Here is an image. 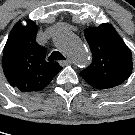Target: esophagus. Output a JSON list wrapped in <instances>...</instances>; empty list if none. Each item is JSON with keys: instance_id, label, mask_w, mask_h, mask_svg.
Wrapping results in <instances>:
<instances>
[{"instance_id": "obj_1", "label": "esophagus", "mask_w": 135, "mask_h": 135, "mask_svg": "<svg viewBox=\"0 0 135 135\" xmlns=\"http://www.w3.org/2000/svg\"><path fill=\"white\" fill-rule=\"evenodd\" d=\"M72 61L70 59H66L65 61H60L59 64L61 66H65V65H68L70 64Z\"/></svg>"}]
</instances>
